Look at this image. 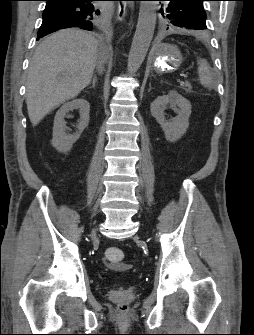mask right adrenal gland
I'll use <instances>...</instances> for the list:
<instances>
[{"instance_id": "1", "label": "right adrenal gland", "mask_w": 254, "mask_h": 335, "mask_svg": "<svg viewBox=\"0 0 254 335\" xmlns=\"http://www.w3.org/2000/svg\"><path fill=\"white\" fill-rule=\"evenodd\" d=\"M96 83H97V78H96V76H94L93 80H92V88L96 87Z\"/></svg>"}]
</instances>
